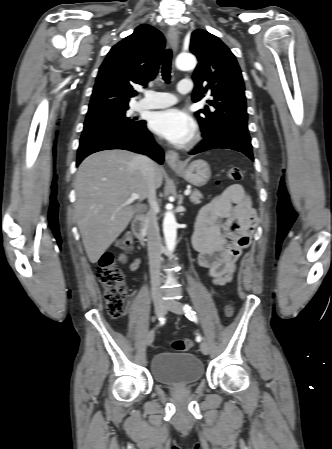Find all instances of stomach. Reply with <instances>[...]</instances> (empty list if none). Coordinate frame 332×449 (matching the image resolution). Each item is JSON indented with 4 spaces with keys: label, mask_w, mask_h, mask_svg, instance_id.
Wrapping results in <instances>:
<instances>
[{
    "label": "stomach",
    "mask_w": 332,
    "mask_h": 449,
    "mask_svg": "<svg viewBox=\"0 0 332 449\" xmlns=\"http://www.w3.org/2000/svg\"><path fill=\"white\" fill-rule=\"evenodd\" d=\"M174 171L197 187L206 185L211 177L210 167L204 160H194L189 164H184L180 169H174Z\"/></svg>",
    "instance_id": "obj_1"
}]
</instances>
